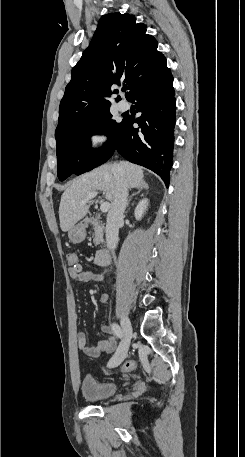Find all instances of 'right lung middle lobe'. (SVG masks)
I'll list each match as a JSON object with an SVG mask.
<instances>
[{
    "mask_svg": "<svg viewBox=\"0 0 245 457\" xmlns=\"http://www.w3.org/2000/svg\"><path fill=\"white\" fill-rule=\"evenodd\" d=\"M109 107L56 129L57 175L60 181L72 173L79 175L89 171L112 156L122 124L112 119ZM95 133L108 136V141L99 151L91 149L90 137Z\"/></svg>",
    "mask_w": 245,
    "mask_h": 457,
    "instance_id": "1",
    "label": "right lung middle lobe"
}]
</instances>
